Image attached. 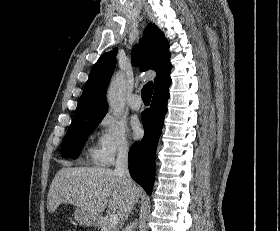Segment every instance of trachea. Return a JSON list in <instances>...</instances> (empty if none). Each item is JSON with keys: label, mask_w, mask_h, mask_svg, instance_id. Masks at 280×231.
Instances as JSON below:
<instances>
[{"label": "trachea", "mask_w": 280, "mask_h": 231, "mask_svg": "<svg viewBox=\"0 0 280 231\" xmlns=\"http://www.w3.org/2000/svg\"><path fill=\"white\" fill-rule=\"evenodd\" d=\"M153 82H148L141 90V97L145 104H149L153 93Z\"/></svg>", "instance_id": "1"}]
</instances>
